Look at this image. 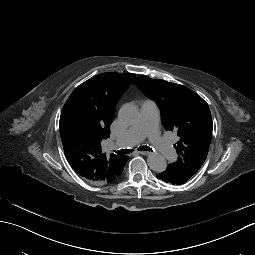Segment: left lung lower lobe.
I'll list each match as a JSON object with an SVG mask.
<instances>
[{
	"instance_id": "left-lung-lower-lobe-1",
	"label": "left lung lower lobe",
	"mask_w": 255,
	"mask_h": 255,
	"mask_svg": "<svg viewBox=\"0 0 255 255\" xmlns=\"http://www.w3.org/2000/svg\"><path fill=\"white\" fill-rule=\"evenodd\" d=\"M155 177L167 184H183L187 182V177L184 175H179L177 171L172 166H167L163 169V172H157Z\"/></svg>"
}]
</instances>
